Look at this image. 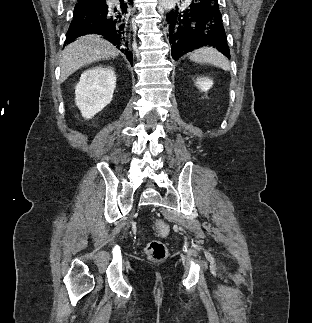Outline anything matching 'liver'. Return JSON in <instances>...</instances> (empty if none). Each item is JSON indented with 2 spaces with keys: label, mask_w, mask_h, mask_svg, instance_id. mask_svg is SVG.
<instances>
[{
  "label": "liver",
  "mask_w": 312,
  "mask_h": 323,
  "mask_svg": "<svg viewBox=\"0 0 312 323\" xmlns=\"http://www.w3.org/2000/svg\"><path fill=\"white\" fill-rule=\"evenodd\" d=\"M119 54V50L111 42L103 40L101 36H96V34L77 38L76 42H72L63 50L60 60V82H64L70 74H74L76 70L86 66V64H93V62L106 60V58H114Z\"/></svg>",
  "instance_id": "6515ba94"
}]
</instances>
